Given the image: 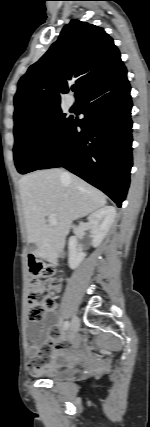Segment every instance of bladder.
<instances>
[{"mask_svg": "<svg viewBox=\"0 0 150 427\" xmlns=\"http://www.w3.org/2000/svg\"><path fill=\"white\" fill-rule=\"evenodd\" d=\"M76 373V367L65 355L58 356L49 365L47 378L53 382H61L70 379Z\"/></svg>", "mask_w": 150, "mask_h": 427, "instance_id": "31cf9c89", "label": "bladder"}]
</instances>
